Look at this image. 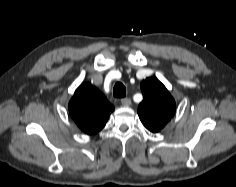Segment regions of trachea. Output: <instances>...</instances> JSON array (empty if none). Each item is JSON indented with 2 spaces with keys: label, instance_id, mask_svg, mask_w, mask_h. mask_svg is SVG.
Masks as SVG:
<instances>
[{
  "label": "trachea",
  "instance_id": "obj_1",
  "mask_svg": "<svg viewBox=\"0 0 236 187\" xmlns=\"http://www.w3.org/2000/svg\"><path fill=\"white\" fill-rule=\"evenodd\" d=\"M113 95L117 98H123L126 96V88L121 82H117L113 88Z\"/></svg>",
  "mask_w": 236,
  "mask_h": 187
}]
</instances>
